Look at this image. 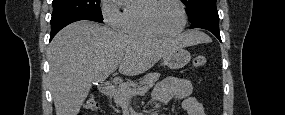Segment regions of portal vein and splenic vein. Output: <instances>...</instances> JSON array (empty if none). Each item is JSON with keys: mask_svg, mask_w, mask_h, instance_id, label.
I'll use <instances>...</instances> for the list:
<instances>
[{"mask_svg": "<svg viewBox=\"0 0 285 115\" xmlns=\"http://www.w3.org/2000/svg\"><path fill=\"white\" fill-rule=\"evenodd\" d=\"M147 90H148V88L146 86H143V87L139 88L137 92H146Z\"/></svg>", "mask_w": 285, "mask_h": 115, "instance_id": "obj_1", "label": "portal vein and splenic vein"}]
</instances>
